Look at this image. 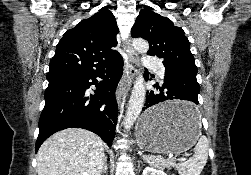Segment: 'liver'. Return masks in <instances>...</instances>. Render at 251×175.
Returning a JSON list of instances; mask_svg holds the SVG:
<instances>
[{"label":"liver","instance_id":"1","mask_svg":"<svg viewBox=\"0 0 251 175\" xmlns=\"http://www.w3.org/2000/svg\"><path fill=\"white\" fill-rule=\"evenodd\" d=\"M105 145L98 135L69 127L48 137L37 153L38 175H100Z\"/></svg>","mask_w":251,"mask_h":175}]
</instances>
